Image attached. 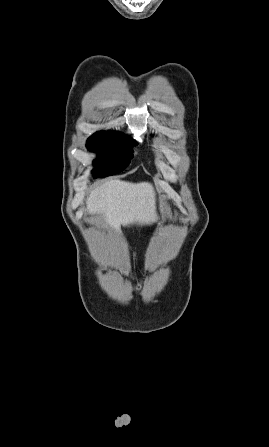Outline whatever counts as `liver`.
Segmentation results:
<instances>
[{
  "label": "liver",
  "mask_w": 269,
  "mask_h": 447,
  "mask_svg": "<svg viewBox=\"0 0 269 447\" xmlns=\"http://www.w3.org/2000/svg\"><path fill=\"white\" fill-rule=\"evenodd\" d=\"M155 200L154 188L148 182L110 180L92 190L86 206L89 214H101L105 227L121 233V224H154L158 220Z\"/></svg>",
  "instance_id": "1"
}]
</instances>
